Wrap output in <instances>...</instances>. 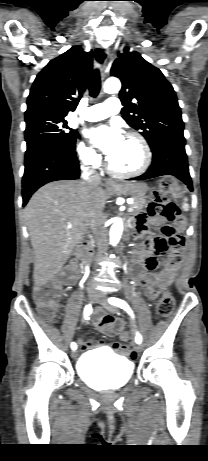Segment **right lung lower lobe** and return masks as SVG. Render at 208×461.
I'll list each match as a JSON object with an SVG mask.
<instances>
[{"mask_svg":"<svg viewBox=\"0 0 208 461\" xmlns=\"http://www.w3.org/2000/svg\"><path fill=\"white\" fill-rule=\"evenodd\" d=\"M79 176V161L75 150L51 143L38 146L25 155L23 206L44 184L56 180H74Z\"/></svg>","mask_w":208,"mask_h":461,"instance_id":"98d812e1","label":"right lung lower lobe"}]
</instances>
